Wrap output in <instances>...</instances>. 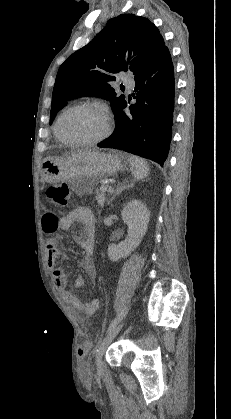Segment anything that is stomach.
I'll return each mask as SVG.
<instances>
[{
    "label": "stomach",
    "mask_w": 231,
    "mask_h": 419,
    "mask_svg": "<svg viewBox=\"0 0 231 419\" xmlns=\"http://www.w3.org/2000/svg\"><path fill=\"white\" fill-rule=\"evenodd\" d=\"M125 163L126 158L122 154L89 150L46 158L40 171L45 182L70 181L76 192L83 193L93 188L98 180L117 173Z\"/></svg>",
    "instance_id": "stomach-1"
}]
</instances>
